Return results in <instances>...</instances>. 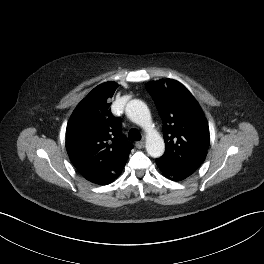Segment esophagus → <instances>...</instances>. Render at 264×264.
Here are the masks:
<instances>
[{
	"mask_svg": "<svg viewBox=\"0 0 264 264\" xmlns=\"http://www.w3.org/2000/svg\"><path fill=\"white\" fill-rule=\"evenodd\" d=\"M144 144H145V142H144L143 140H142V141H137V142L135 143V146H136L137 148L141 149V148L144 147Z\"/></svg>",
	"mask_w": 264,
	"mask_h": 264,
	"instance_id": "esophagus-1",
	"label": "esophagus"
}]
</instances>
